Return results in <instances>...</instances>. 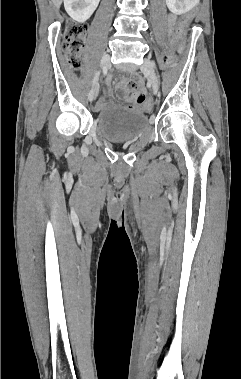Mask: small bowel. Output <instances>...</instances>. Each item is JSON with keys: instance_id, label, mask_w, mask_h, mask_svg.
<instances>
[{"instance_id": "small-bowel-1", "label": "small bowel", "mask_w": 241, "mask_h": 379, "mask_svg": "<svg viewBox=\"0 0 241 379\" xmlns=\"http://www.w3.org/2000/svg\"><path fill=\"white\" fill-rule=\"evenodd\" d=\"M169 21H170V25L173 26V24L175 23L174 17H170ZM137 86H138V84L134 80H129V81L121 80L117 84L116 88L120 92L122 98L127 103H129L130 106H137V107L143 108L142 102H141L142 98H145V92H144L143 87H139L136 90H130V89L137 88ZM128 87L130 89H128ZM105 105H106V103L104 100H99V101H97V103L95 105V110L99 111V110L103 109L105 107Z\"/></svg>"}]
</instances>
